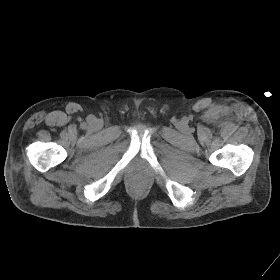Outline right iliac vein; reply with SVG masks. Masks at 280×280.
Instances as JSON below:
<instances>
[{
  "label": "right iliac vein",
  "instance_id": "right-iliac-vein-1",
  "mask_svg": "<svg viewBox=\"0 0 280 280\" xmlns=\"http://www.w3.org/2000/svg\"><path fill=\"white\" fill-rule=\"evenodd\" d=\"M102 127V122L100 120H93L91 122V128L93 130H99Z\"/></svg>",
  "mask_w": 280,
  "mask_h": 280
}]
</instances>
